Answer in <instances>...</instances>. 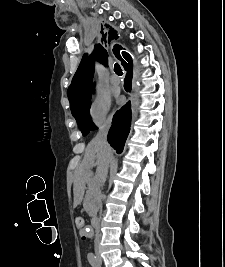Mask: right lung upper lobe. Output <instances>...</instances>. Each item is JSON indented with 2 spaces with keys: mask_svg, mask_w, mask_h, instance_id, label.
Here are the masks:
<instances>
[{
  "mask_svg": "<svg viewBox=\"0 0 225 267\" xmlns=\"http://www.w3.org/2000/svg\"><path fill=\"white\" fill-rule=\"evenodd\" d=\"M105 26L107 25L105 24ZM117 38L118 36L116 34V31L113 28H110L108 42ZM103 40L106 43V34ZM115 51H117V54L119 55V49H117L116 46H114L113 49L114 53ZM107 57H108L107 51L100 44H97L95 46L94 51L90 56H88V54H85L83 56L80 65L72 79L71 85L68 88V98L70 100L71 105L80 101L83 97H85V95L89 91L92 90V81L94 76V61L98 60L100 63L107 66L108 63ZM129 63L122 61V65L125 68L129 66Z\"/></svg>",
  "mask_w": 225,
  "mask_h": 267,
  "instance_id": "obj_1",
  "label": "right lung upper lobe"
}]
</instances>
